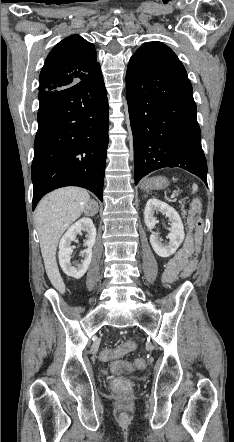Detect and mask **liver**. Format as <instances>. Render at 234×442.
Segmentation results:
<instances>
[{"label":"liver","mask_w":234,"mask_h":442,"mask_svg":"<svg viewBox=\"0 0 234 442\" xmlns=\"http://www.w3.org/2000/svg\"><path fill=\"white\" fill-rule=\"evenodd\" d=\"M88 205L90 195L86 190L65 187L46 195L36 208L35 223L45 270L50 282L61 294L65 293V284L56 261L58 242L69 225L81 216Z\"/></svg>","instance_id":"liver-1"}]
</instances>
